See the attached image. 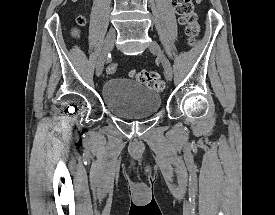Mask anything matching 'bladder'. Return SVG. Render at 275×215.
Masks as SVG:
<instances>
[{
	"instance_id": "31cf9c89",
	"label": "bladder",
	"mask_w": 275,
	"mask_h": 215,
	"mask_svg": "<svg viewBox=\"0 0 275 215\" xmlns=\"http://www.w3.org/2000/svg\"><path fill=\"white\" fill-rule=\"evenodd\" d=\"M102 101L114 116L140 119L159 111L161 96L135 80L111 78L102 86Z\"/></svg>"
}]
</instances>
